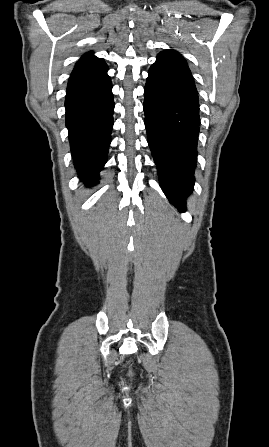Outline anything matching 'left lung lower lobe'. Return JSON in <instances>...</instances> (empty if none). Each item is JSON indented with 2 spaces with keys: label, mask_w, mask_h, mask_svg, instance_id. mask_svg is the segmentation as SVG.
Listing matches in <instances>:
<instances>
[{
  "label": "left lung lower lobe",
  "mask_w": 269,
  "mask_h": 447,
  "mask_svg": "<svg viewBox=\"0 0 269 447\" xmlns=\"http://www.w3.org/2000/svg\"><path fill=\"white\" fill-rule=\"evenodd\" d=\"M148 74L144 90L148 144L162 190L184 211L195 181L198 93L185 59L174 50L159 53Z\"/></svg>",
  "instance_id": "left-lung-lower-lobe-1"
}]
</instances>
